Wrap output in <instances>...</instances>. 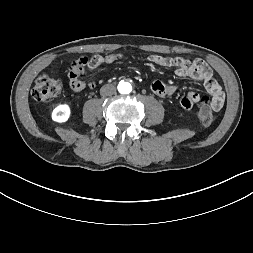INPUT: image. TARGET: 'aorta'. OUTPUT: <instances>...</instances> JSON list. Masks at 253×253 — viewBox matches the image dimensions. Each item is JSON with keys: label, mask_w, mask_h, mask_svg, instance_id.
Segmentation results:
<instances>
[{"label": "aorta", "mask_w": 253, "mask_h": 253, "mask_svg": "<svg viewBox=\"0 0 253 253\" xmlns=\"http://www.w3.org/2000/svg\"><path fill=\"white\" fill-rule=\"evenodd\" d=\"M118 91L121 94H129L132 91V86H131V84L129 82L121 81L118 84Z\"/></svg>", "instance_id": "obj_1"}]
</instances>
